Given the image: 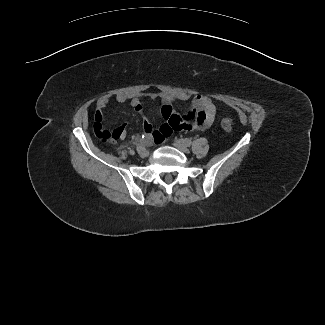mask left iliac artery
Wrapping results in <instances>:
<instances>
[{
	"instance_id": "obj_1",
	"label": "left iliac artery",
	"mask_w": 325,
	"mask_h": 325,
	"mask_svg": "<svg viewBox=\"0 0 325 325\" xmlns=\"http://www.w3.org/2000/svg\"><path fill=\"white\" fill-rule=\"evenodd\" d=\"M182 144L186 145V146H190L191 145V140L188 139V138H184V139H181L179 140Z\"/></svg>"
}]
</instances>
